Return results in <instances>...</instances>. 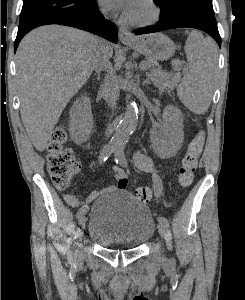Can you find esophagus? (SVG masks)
Masks as SVG:
<instances>
[{"label": "esophagus", "mask_w": 245, "mask_h": 300, "mask_svg": "<svg viewBox=\"0 0 245 300\" xmlns=\"http://www.w3.org/2000/svg\"><path fill=\"white\" fill-rule=\"evenodd\" d=\"M118 37L121 42H131L135 40L134 35L125 26H120L118 29Z\"/></svg>", "instance_id": "34e87169"}]
</instances>
